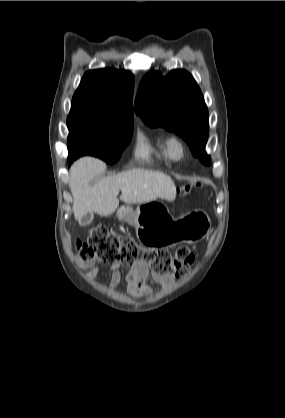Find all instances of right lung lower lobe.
<instances>
[{"label":"right lung lower lobe","mask_w":285,"mask_h":418,"mask_svg":"<svg viewBox=\"0 0 285 418\" xmlns=\"http://www.w3.org/2000/svg\"><path fill=\"white\" fill-rule=\"evenodd\" d=\"M72 162H73V161H72ZM72 162H68V163H69V165H70Z\"/></svg>","instance_id":"right-lung-lower-lobe-1"}]
</instances>
